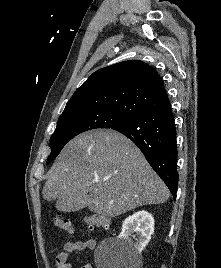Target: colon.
Segmentation results:
<instances>
[{
    "label": "colon",
    "mask_w": 221,
    "mask_h": 268,
    "mask_svg": "<svg viewBox=\"0 0 221 268\" xmlns=\"http://www.w3.org/2000/svg\"><path fill=\"white\" fill-rule=\"evenodd\" d=\"M85 221L88 229L90 230H93L95 228L108 229L110 227V220L107 217L99 214L90 215L86 218ZM54 224L56 227L65 232L68 233L74 232V226L68 219L54 217Z\"/></svg>",
    "instance_id": "1"
}]
</instances>
